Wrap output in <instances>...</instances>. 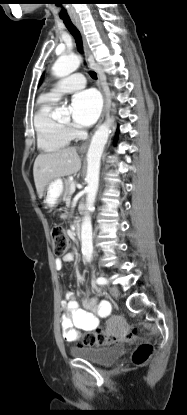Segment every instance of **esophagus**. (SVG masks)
<instances>
[{"instance_id": "obj_1", "label": "esophagus", "mask_w": 187, "mask_h": 415, "mask_svg": "<svg viewBox=\"0 0 187 415\" xmlns=\"http://www.w3.org/2000/svg\"><path fill=\"white\" fill-rule=\"evenodd\" d=\"M73 22H74L75 26L77 27V29L79 30V32L81 34L82 41H83L85 58H86L87 62L89 63V60H90V57H91V51L89 49L86 37L84 35L82 25H81L79 19H74ZM96 72L98 74V78H99V82H100V90H101V92L103 94V98H104V107H103L102 114H101V117L99 119V122L97 124V126H99V124L103 121L105 113H106L108 97H107V93H106V86L103 84V74H102V72H100L97 69H96ZM88 143H89L88 141L84 142L80 146V149L81 150H86L87 147H88Z\"/></svg>"}]
</instances>
